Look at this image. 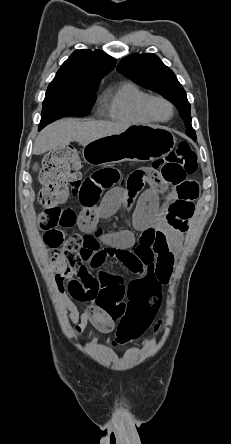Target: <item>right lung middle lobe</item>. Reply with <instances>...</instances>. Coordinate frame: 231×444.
I'll use <instances>...</instances> for the list:
<instances>
[{"instance_id":"dd1d6c3e","label":"right lung middle lobe","mask_w":231,"mask_h":444,"mask_svg":"<svg viewBox=\"0 0 231 444\" xmlns=\"http://www.w3.org/2000/svg\"><path fill=\"white\" fill-rule=\"evenodd\" d=\"M96 90L47 89L39 130L65 116H86L94 103Z\"/></svg>"}]
</instances>
